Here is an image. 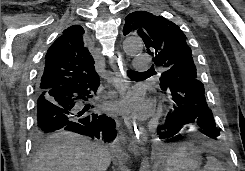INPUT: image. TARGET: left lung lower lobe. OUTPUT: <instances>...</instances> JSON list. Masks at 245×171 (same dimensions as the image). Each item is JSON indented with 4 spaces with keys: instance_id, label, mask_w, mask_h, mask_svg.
Returning a JSON list of instances; mask_svg holds the SVG:
<instances>
[{
    "instance_id": "left-lung-lower-lobe-1",
    "label": "left lung lower lobe",
    "mask_w": 245,
    "mask_h": 171,
    "mask_svg": "<svg viewBox=\"0 0 245 171\" xmlns=\"http://www.w3.org/2000/svg\"><path fill=\"white\" fill-rule=\"evenodd\" d=\"M172 96L175 105L167 114L165 123L157 128L160 139L175 140L189 125H197L200 132L212 139L220 135L209 108L203 83L196 78L181 77L163 90Z\"/></svg>"
}]
</instances>
